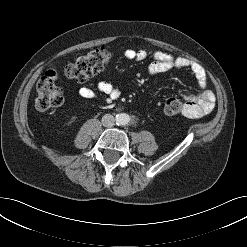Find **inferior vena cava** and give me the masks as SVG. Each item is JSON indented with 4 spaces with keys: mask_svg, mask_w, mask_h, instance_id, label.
Listing matches in <instances>:
<instances>
[{
    "mask_svg": "<svg viewBox=\"0 0 247 247\" xmlns=\"http://www.w3.org/2000/svg\"><path fill=\"white\" fill-rule=\"evenodd\" d=\"M115 123V118L111 114H105L102 117V124L105 127H112Z\"/></svg>",
    "mask_w": 247,
    "mask_h": 247,
    "instance_id": "inferior-vena-cava-1",
    "label": "inferior vena cava"
}]
</instances>
